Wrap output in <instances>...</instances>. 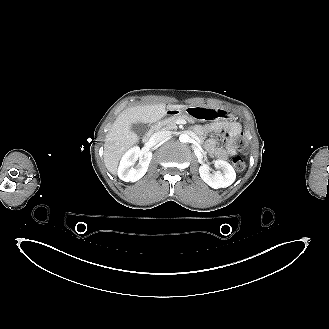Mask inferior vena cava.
Returning a JSON list of instances; mask_svg holds the SVG:
<instances>
[{"instance_id":"1","label":"inferior vena cava","mask_w":329,"mask_h":329,"mask_svg":"<svg viewBox=\"0 0 329 329\" xmlns=\"http://www.w3.org/2000/svg\"><path fill=\"white\" fill-rule=\"evenodd\" d=\"M171 133L169 131H158L154 133L152 139L155 143L162 142L170 137Z\"/></svg>"}]
</instances>
